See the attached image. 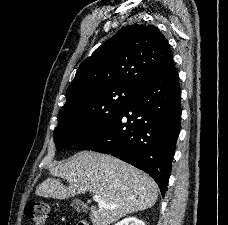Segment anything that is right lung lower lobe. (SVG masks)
<instances>
[{"label": "right lung lower lobe", "instance_id": "obj_1", "mask_svg": "<svg viewBox=\"0 0 228 225\" xmlns=\"http://www.w3.org/2000/svg\"><path fill=\"white\" fill-rule=\"evenodd\" d=\"M181 89L173 59L139 85L122 108L78 143L148 173L164 196L180 132Z\"/></svg>", "mask_w": 228, "mask_h": 225}]
</instances>
